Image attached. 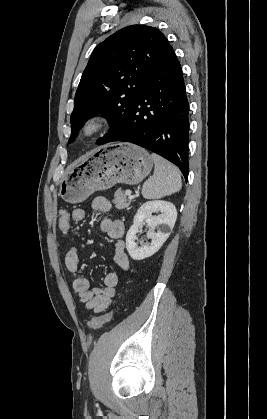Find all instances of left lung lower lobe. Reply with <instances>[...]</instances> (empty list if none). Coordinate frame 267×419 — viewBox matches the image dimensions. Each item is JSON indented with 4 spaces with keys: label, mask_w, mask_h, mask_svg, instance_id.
I'll list each match as a JSON object with an SVG mask.
<instances>
[{
    "label": "left lung lower lobe",
    "mask_w": 267,
    "mask_h": 419,
    "mask_svg": "<svg viewBox=\"0 0 267 419\" xmlns=\"http://www.w3.org/2000/svg\"><path fill=\"white\" fill-rule=\"evenodd\" d=\"M129 113L98 144L126 141L177 165L188 178L189 104L182 68L170 46Z\"/></svg>",
    "instance_id": "0a47b994"
}]
</instances>
